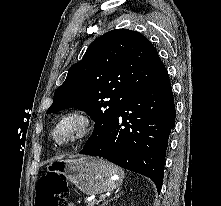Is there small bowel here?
Returning a JSON list of instances; mask_svg holds the SVG:
<instances>
[{
  "mask_svg": "<svg viewBox=\"0 0 221 206\" xmlns=\"http://www.w3.org/2000/svg\"><path fill=\"white\" fill-rule=\"evenodd\" d=\"M68 206H75L73 203H69Z\"/></svg>",
  "mask_w": 221,
  "mask_h": 206,
  "instance_id": "obj_1",
  "label": "small bowel"
}]
</instances>
